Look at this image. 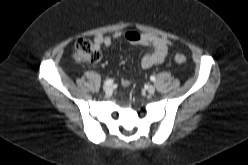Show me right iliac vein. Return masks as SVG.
Instances as JSON below:
<instances>
[{
	"label": "right iliac vein",
	"instance_id": "obj_1",
	"mask_svg": "<svg viewBox=\"0 0 248 165\" xmlns=\"http://www.w3.org/2000/svg\"><path fill=\"white\" fill-rule=\"evenodd\" d=\"M112 85H104L103 90L105 91L106 94H110L112 92Z\"/></svg>",
	"mask_w": 248,
	"mask_h": 165
}]
</instances>
